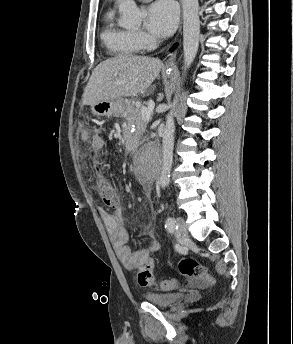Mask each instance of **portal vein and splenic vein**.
Listing matches in <instances>:
<instances>
[{"label":"portal vein and splenic vein","instance_id":"1","mask_svg":"<svg viewBox=\"0 0 293 344\" xmlns=\"http://www.w3.org/2000/svg\"><path fill=\"white\" fill-rule=\"evenodd\" d=\"M153 112L152 108L149 107H141V116L144 121H148L151 118V114Z\"/></svg>","mask_w":293,"mask_h":344}]
</instances>
